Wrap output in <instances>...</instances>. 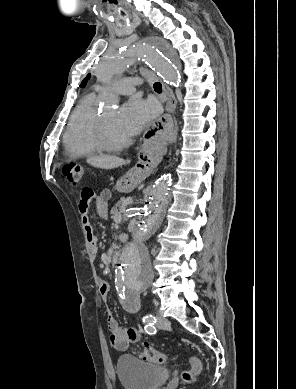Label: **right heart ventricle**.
Instances as JSON below:
<instances>
[{
    "mask_svg": "<svg viewBox=\"0 0 296 389\" xmlns=\"http://www.w3.org/2000/svg\"><path fill=\"white\" fill-rule=\"evenodd\" d=\"M95 95L83 98L71 115L64 136V146L72 157L85 158L101 153L95 136L98 114L94 109Z\"/></svg>",
    "mask_w": 296,
    "mask_h": 389,
    "instance_id": "e07e8e85",
    "label": "right heart ventricle"
}]
</instances>
